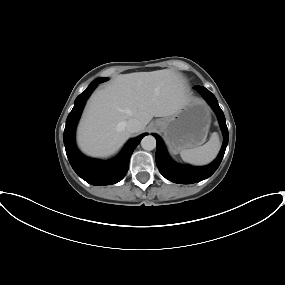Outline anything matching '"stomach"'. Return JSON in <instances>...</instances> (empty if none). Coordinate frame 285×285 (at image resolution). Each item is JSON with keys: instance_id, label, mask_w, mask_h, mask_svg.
<instances>
[{"instance_id": "1", "label": "stomach", "mask_w": 285, "mask_h": 285, "mask_svg": "<svg viewBox=\"0 0 285 285\" xmlns=\"http://www.w3.org/2000/svg\"><path fill=\"white\" fill-rule=\"evenodd\" d=\"M211 122L210 111L200 99H191L175 114L157 119L155 124L164 134L173 153L202 145L207 138Z\"/></svg>"}]
</instances>
